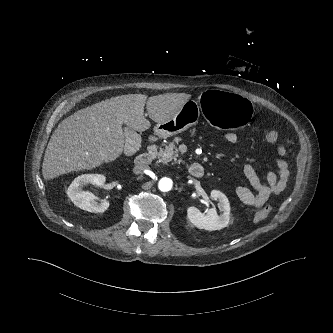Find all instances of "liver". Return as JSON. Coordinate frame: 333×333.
<instances>
[{"instance_id":"6515ba94","label":"liver","mask_w":333,"mask_h":333,"mask_svg":"<svg viewBox=\"0 0 333 333\" xmlns=\"http://www.w3.org/2000/svg\"><path fill=\"white\" fill-rule=\"evenodd\" d=\"M191 98L185 93L151 96L128 94L106 99L64 119L52 134L42 166L47 180L73 171L90 170L114 161L124 149L122 124L138 132L150 127L144 117L163 122L179 112Z\"/></svg>"}]
</instances>
